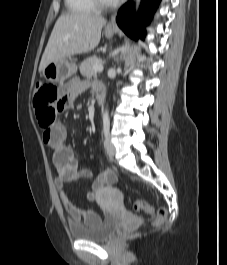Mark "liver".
Wrapping results in <instances>:
<instances>
[{
	"label": "liver",
	"mask_w": 227,
	"mask_h": 265,
	"mask_svg": "<svg viewBox=\"0 0 227 265\" xmlns=\"http://www.w3.org/2000/svg\"><path fill=\"white\" fill-rule=\"evenodd\" d=\"M106 19L90 13L62 14L55 23L42 55L39 71L51 62L64 61L76 54L86 53L100 42Z\"/></svg>",
	"instance_id": "6515ba94"
}]
</instances>
